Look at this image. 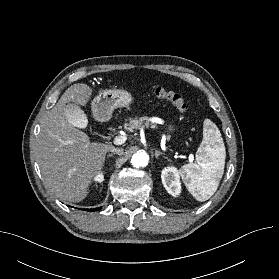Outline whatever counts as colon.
Wrapping results in <instances>:
<instances>
[{
    "mask_svg": "<svg viewBox=\"0 0 279 279\" xmlns=\"http://www.w3.org/2000/svg\"><path fill=\"white\" fill-rule=\"evenodd\" d=\"M153 94L158 99L169 101L181 113L186 112L188 109V106L182 96L173 91H168L159 87L154 90Z\"/></svg>",
    "mask_w": 279,
    "mask_h": 279,
    "instance_id": "colon-1",
    "label": "colon"
}]
</instances>
